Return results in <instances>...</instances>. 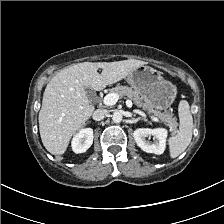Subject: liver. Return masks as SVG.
Segmentation results:
<instances>
[{
	"label": "liver",
	"mask_w": 224,
	"mask_h": 224,
	"mask_svg": "<svg viewBox=\"0 0 224 224\" xmlns=\"http://www.w3.org/2000/svg\"><path fill=\"white\" fill-rule=\"evenodd\" d=\"M144 61L83 62L58 72L47 84L39 112L44 147L53 155L65 153L70 139L94 112L86 88L100 91L126 78ZM101 68L102 73L97 70Z\"/></svg>",
	"instance_id": "1"
}]
</instances>
